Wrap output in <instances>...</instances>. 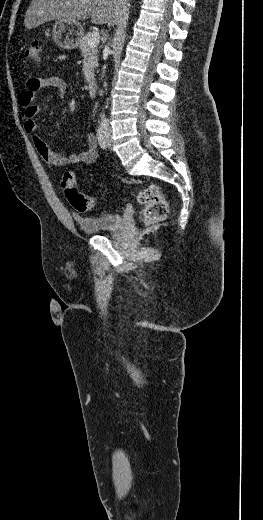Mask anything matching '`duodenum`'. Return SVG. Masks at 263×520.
Instances as JSON below:
<instances>
[{
  "label": "duodenum",
  "instance_id": "410a0bca",
  "mask_svg": "<svg viewBox=\"0 0 263 520\" xmlns=\"http://www.w3.org/2000/svg\"><path fill=\"white\" fill-rule=\"evenodd\" d=\"M97 89H98V84H97V81L96 80H90L88 82V93L90 96H95L96 93H97Z\"/></svg>",
  "mask_w": 263,
  "mask_h": 520
}]
</instances>
